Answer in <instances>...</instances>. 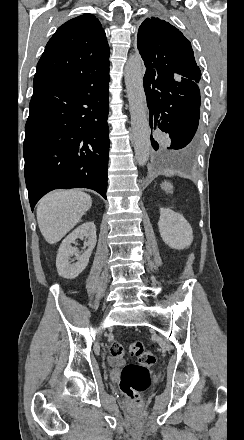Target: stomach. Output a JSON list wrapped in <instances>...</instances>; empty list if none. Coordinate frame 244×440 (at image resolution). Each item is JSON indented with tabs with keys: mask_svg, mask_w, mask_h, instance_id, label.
<instances>
[{
	"mask_svg": "<svg viewBox=\"0 0 244 440\" xmlns=\"http://www.w3.org/2000/svg\"><path fill=\"white\" fill-rule=\"evenodd\" d=\"M161 188L162 190H165V192H168V194H172L173 186L172 184H169V182H163Z\"/></svg>",
	"mask_w": 244,
	"mask_h": 440,
	"instance_id": "stomach-1",
	"label": "stomach"
}]
</instances>
